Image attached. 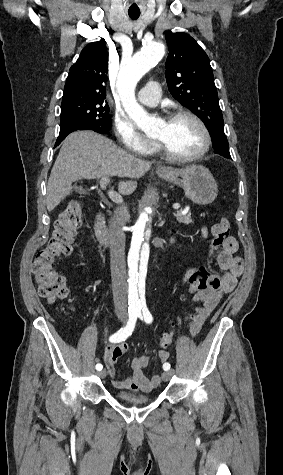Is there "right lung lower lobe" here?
<instances>
[{
    "label": "right lung lower lobe",
    "mask_w": 283,
    "mask_h": 475,
    "mask_svg": "<svg viewBox=\"0 0 283 475\" xmlns=\"http://www.w3.org/2000/svg\"><path fill=\"white\" fill-rule=\"evenodd\" d=\"M83 129L92 130L88 126L83 125V124H69V125L61 126L60 127V133H59V136L57 138L55 147L58 146L60 144V142L63 141L65 139V137L68 134H70L71 132L76 131V130H83ZM93 131L101 133L99 130H93ZM101 134H103V133H101Z\"/></svg>",
    "instance_id": "obj_1"
}]
</instances>
